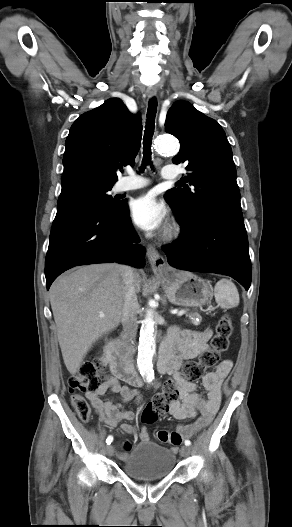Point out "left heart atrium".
<instances>
[{
    "mask_svg": "<svg viewBox=\"0 0 292 527\" xmlns=\"http://www.w3.org/2000/svg\"><path fill=\"white\" fill-rule=\"evenodd\" d=\"M131 215L135 224L147 231L160 229L166 219L164 207L152 194L136 198L131 205Z\"/></svg>",
    "mask_w": 292,
    "mask_h": 527,
    "instance_id": "39dd6f15",
    "label": "left heart atrium"
}]
</instances>
